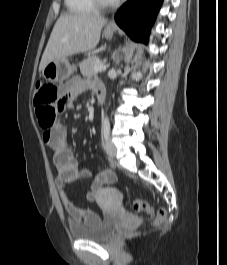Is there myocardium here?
<instances>
[{"mask_svg":"<svg viewBox=\"0 0 227 265\" xmlns=\"http://www.w3.org/2000/svg\"><path fill=\"white\" fill-rule=\"evenodd\" d=\"M97 9H107L113 6L114 2L105 0H91Z\"/></svg>","mask_w":227,"mask_h":265,"instance_id":"myocardium-1","label":"myocardium"}]
</instances>
